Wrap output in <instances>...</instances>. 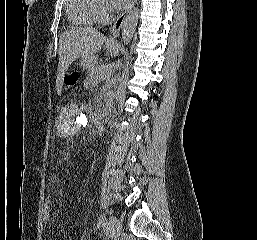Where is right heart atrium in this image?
Segmentation results:
<instances>
[{"mask_svg":"<svg viewBox=\"0 0 257 240\" xmlns=\"http://www.w3.org/2000/svg\"><path fill=\"white\" fill-rule=\"evenodd\" d=\"M97 17H98V20L101 21V22L107 21L109 19V17H110V8L103 1L98 3V6H97Z\"/></svg>","mask_w":257,"mask_h":240,"instance_id":"right-heart-atrium-1","label":"right heart atrium"}]
</instances>
